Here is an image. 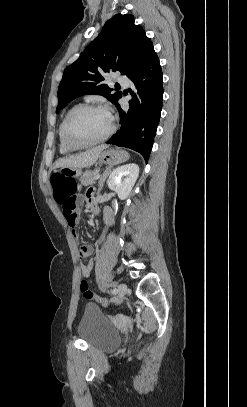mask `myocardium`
Returning a JSON list of instances; mask_svg holds the SVG:
<instances>
[{
	"label": "myocardium",
	"mask_w": 247,
	"mask_h": 407,
	"mask_svg": "<svg viewBox=\"0 0 247 407\" xmlns=\"http://www.w3.org/2000/svg\"><path fill=\"white\" fill-rule=\"evenodd\" d=\"M84 110H101V111H104L108 115V117L110 119V128L106 132L105 135H103L102 137H100V138H98L96 140H93V141H90V142H87V143H78V142L73 141L70 138L69 126H70V123H71L72 119L78 113H80V112H82ZM114 131H115V122H114V119H113L112 115L110 114V112L105 107H103L101 105L86 103V104H81V105H78V106L74 107L70 111V113L67 115V117H66V119L64 121V124H63L62 136H63V140H64L65 144L68 147H70L72 149H83V148L91 147V146H94V145H97V144H100V143L106 141L107 139H109L111 137V135L114 133Z\"/></svg>",
	"instance_id": "f54148a6"
}]
</instances>
